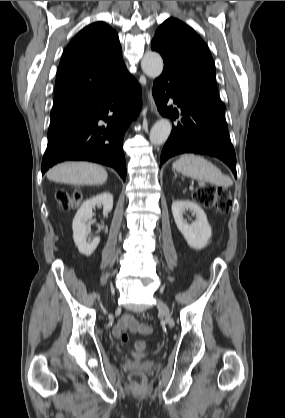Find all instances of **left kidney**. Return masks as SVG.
<instances>
[{"label": "left kidney", "mask_w": 285, "mask_h": 418, "mask_svg": "<svg viewBox=\"0 0 285 418\" xmlns=\"http://www.w3.org/2000/svg\"><path fill=\"white\" fill-rule=\"evenodd\" d=\"M171 209L175 223L188 245L198 250L204 248L211 237L212 230L203 209L188 200L173 201ZM187 210L193 211L196 216L195 221L191 224L183 217Z\"/></svg>", "instance_id": "1"}]
</instances>
